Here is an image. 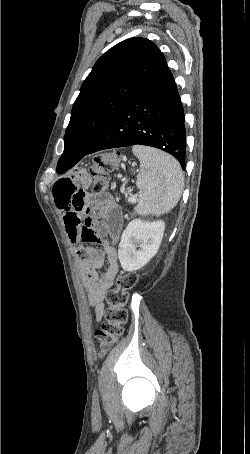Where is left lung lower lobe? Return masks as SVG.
Returning a JSON list of instances; mask_svg holds the SVG:
<instances>
[{
    "label": "left lung lower lobe",
    "mask_w": 250,
    "mask_h": 454,
    "mask_svg": "<svg viewBox=\"0 0 250 454\" xmlns=\"http://www.w3.org/2000/svg\"><path fill=\"white\" fill-rule=\"evenodd\" d=\"M184 110L174 78L165 67L105 124L83 155L62 154L57 172L64 173L85 155L136 144L152 146L173 155L185 170Z\"/></svg>",
    "instance_id": "0a47b994"
}]
</instances>
